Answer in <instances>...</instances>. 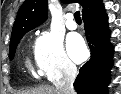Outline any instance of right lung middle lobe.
I'll use <instances>...</instances> for the list:
<instances>
[{
  "label": "right lung middle lobe",
  "instance_id": "1",
  "mask_svg": "<svg viewBox=\"0 0 121 94\" xmlns=\"http://www.w3.org/2000/svg\"><path fill=\"white\" fill-rule=\"evenodd\" d=\"M30 30H27V31H24V32H21L19 33L18 35H16L15 37H13L10 41V52H9V57L10 59H13L14 57V54H15V50H16V47L20 41V39L24 36V34L26 32H28Z\"/></svg>",
  "mask_w": 121,
  "mask_h": 94
}]
</instances>
